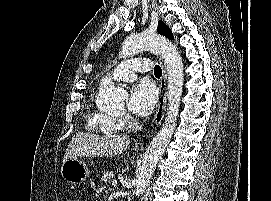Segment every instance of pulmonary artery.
<instances>
[{
  "label": "pulmonary artery",
  "mask_w": 271,
  "mask_h": 201,
  "mask_svg": "<svg viewBox=\"0 0 271 201\" xmlns=\"http://www.w3.org/2000/svg\"><path fill=\"white\" fill-rule=\"evenodd\" d=\"M151 69V64L145 58H133L121 62L112 72L116 81H133L138 73H146Z\"/></svg>",
  "instance_id": "obj_1"
}]
</instances>
